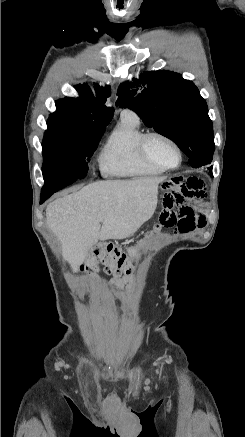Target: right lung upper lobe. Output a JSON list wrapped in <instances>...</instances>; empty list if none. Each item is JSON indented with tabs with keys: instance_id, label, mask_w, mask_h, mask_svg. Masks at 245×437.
<instances>
[{
	"instance_id": "right-lung-upper-lobe-1",
	"label": "right lung upper lobe",
	"mask_w": 245,
	"mask_h": 437,
	"mask_svg": "<svg viewBox=\"0 0 245 437\" xmlns=\"http://www.w3.org/2000/svg\"><path fill=\"white\" fill-rule=\"evenodd\" d=\"M81 97L70 98L66 97L56 101V112L68 119L85 123L106 126L112 119L114 109L107 108L100 104V100L106 101V98L110 96V87H100L98 84H94V91L97 98L94 97L93 91L88 84H78L75 86Z\"/></svg>"
}]
</instances>
